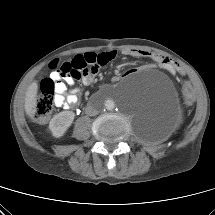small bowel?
Returning a JSON list of instances; mask_svg holds the SVG:
<instances>
[{"label": "small bowel", "mask_w": 215, "mask_h": 215, "mask_svg": "<svg viewBox=\"0 0 215 215\" xmlns=\"http://www.w3.org/2000/svg\"><path fill=\"white\" fill-rule=\"evenodd\" d=\"M122 54L135 58H150L164 68H170L172 64L169 58L144 50L124 49ZM116 56L117 52L115 50L101 53L86 52L78 55L85 66L79 78H74L69 74L61 75L59 72L53 71L51 76L56 80V106L64 109L74 108L79 103V88L75 86V80H80L83 85H90L94 82L99 70L113 61ZM117 80H119L118 76L113 77V81ZM68 86L71 87L69 91Z\"/></svg>", "instance_id": "c3829d8e"}]
</instances>
